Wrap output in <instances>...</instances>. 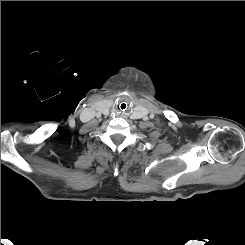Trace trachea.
I'll return each mask as SVG.
<instances>
[{"instance_id":"trachea-1","label":"trachea","mask_w":245,"mask_h":245,"mask_svg":"<svg viewBox=\"0 0 245 245\" xmlns=\"http://www.w3.org/2000/svg\"><path fill=\"white\" fill-rule=\"evenodd\" d=\"M130 108V103L127 102V101H121L118 103L117 105V109L120 111V112H126L128 111Z\"/></svg>"}]
</instances>
